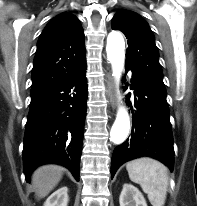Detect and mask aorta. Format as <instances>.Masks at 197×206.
Returning <instances> with one entry per match:
<instances>
[{
	"instance_id": "1",
	"label": "aorta",
	"mask_w": 197,
	"mask_h": 206,
	"mask_svg": "<svg viewBox=\"0 0 197 206\" xmlns=\"http://www.w3.org/2000/svg\"><path fill=\"white\" fill-rule=\"evenodd\" d=\"M107 59L112 65L113 76L119 83L125 60V42L119 32L113 31L107 37ZM130 118L125 107H119L116 120L110 131V140L115 144L124 142L129 134Z\"/></svg>"
}]
</instances>
